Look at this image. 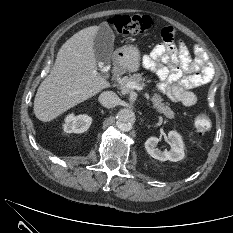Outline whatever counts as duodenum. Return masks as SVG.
Listing matches in <instances>:
<instances>
[{
    "label": "duodenum",
    "instance_id": "duodenum-1",
    "mask_svg": "<svg viewBox=\"0 0 233 233\" xmlns=\"http://www.w3.org/2000/svg\"><path fill=\"white\" fill-rule=\"evenodd\" d=\"M116 74H117V73H116V71H115V72L113 73V78H115V77H116Z\"/></svg>",
    "mask_w": 233,
    "mask_h": 233
}]
</instances>
